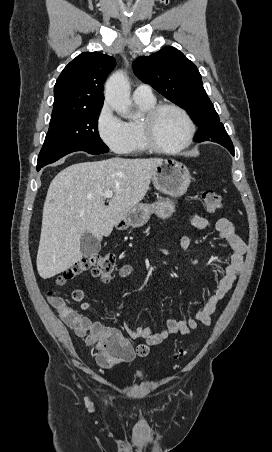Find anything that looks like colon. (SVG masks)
Returning a JSON list of instances; mask_svg holds the SVG:
<instances>
[{
	"mask_svg": "<svg viewBox=\"0 0 272 452\" xmlns=\"http://www.w3.org/2000/svg\"><path fill=\"white\" fill-rule=\"evenodd\" d=\"M202 204L205 211L214 213L222 206L221 196L213 189H205L201 195ZM115 268V257L111 254H92L84 257L81 261L64 271L56 278V284L62 285L67 280L90 270L92 275L102 282H107ZM47 299L50 305L59 315L69 314L71 308L65 300L54 290L47 293ZM99 353L97 362L103 367L121 365L127 362L131 356L130 347L124 344L120 339L111 336H102L98 342ZM137 353L142 354L148 351L144 346L136 349ZM185 354V351H179L174 358H179Z\"/></svg>",
	"mask_w": 272,
	"mask_h": 452,
	"instance_id": "colon-1",
	"label": "colon"
}]
</instances>
